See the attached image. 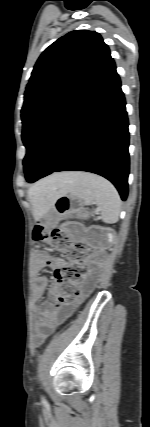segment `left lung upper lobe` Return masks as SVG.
<instances>
[{"label": "left lung upper lobe", "instance_id": "left-lung-upper-lobe-1", "mask_svg": "<svg viewBox=\"0 0 150 427\" xmlns=\"http://www.w3.org/2000/svg\"><path fill=\"white\" fill-rule=\"evenodd\" d=\"M113 59L99 33L75 30L51 44L39 57L26 87L22 140L29 148L43 127Z\"/></svg>", "mask_w": 150, "mask_h": 427}]
</instances>
